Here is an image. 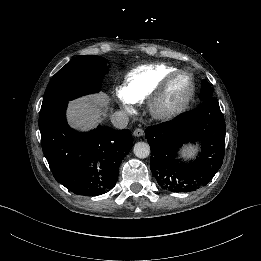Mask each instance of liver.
Wrapping results in <instances>:
<instances>
[{
	"instance_id": "liver-1",
	"label": "liver",
	"mask_w": 261,
	"mask_h": 261,
	"mask_svg": "<svg viewBox=\"0 0 261 261\" xmlns=\"http://www.w3.org/2000/svg\"><path fill=\"white\" fill-rule=\"evenodd\" d=\"M107 105L105 95L90 97L71 103L70 118L75 126H88L96 122L97 108Z\"/></svg>"
}]
</instances>
